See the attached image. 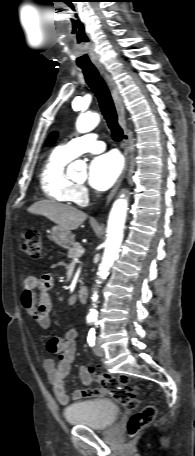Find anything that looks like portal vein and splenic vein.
I'll use <instances>...</instances> for the list:
<instances>
[{"mask_svg":"<svg viewBox=\"0 0 195 456\" xmlns=\"http://www.w3.org/2000/svg\"><path fill=\"white\" fill-rule=\"evenodd\" d=\"M83 253H84V249H83L81 246L78 247V249H77V256H80V255H82Z\"/></svg>","mask_w":195,"mask_h":456,"instance_id":"1","label":"portal vein and splenic vein"}]
</instances>
